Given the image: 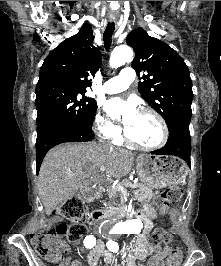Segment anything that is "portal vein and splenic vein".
I'll use <instances>...</instances> for the list:
<instances>
[{
	"mask_svg": "<svg viewBox=\"0 0 221 266\" xmlns=\"http://www.w3.org/2000/svg\"><path fill=\"white\" fill-rule=\"evenodd\" d=\"M105 170H106V168H105L104 166L100 167V171H101V172H103V171H105ZM116 187H117L121 192H123V193L126 192V188H124L122 185L118 184V185H116Z\"/></svg>",
	"mask_w": 221,
	"mask_h": 266,
	"instance_id": "1",
	"label": "portal vein and splenic vein"
}]
</instances>
